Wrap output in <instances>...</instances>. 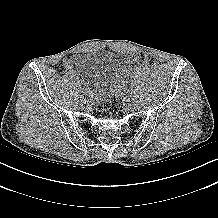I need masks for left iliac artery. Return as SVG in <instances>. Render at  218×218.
I'll use <instances>...</instances> for the list:
<instances>
[{
  "instance_id": "44dca946",
  "label": "left iliac artery",
  "mask_w": 218,
  "mask_h": 218,
  "mask_svg": "<svg viewBox=\"0 0 218 218\" xmlns=\"http://www.w3.org/2000/svg\"><path fill=\"white\" fill-rule=\"evenodd\" d=\"M134 95L131 93L128 97H127V100L128 101H130V100H132V97H133Z\"/></svg>"
}]
</instances>
